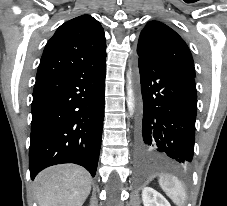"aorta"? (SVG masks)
<instances>
[{
	"label": "aorta",
	"mask_w": 227,
	"mask_h": 206,
	"mask_svg": "<svg viewBox=\"0 0 227 206\" xmlns=\"http://www.w3.org/2000/svg\"><path fill=\"white\" fill-rule=\"evenodd\" d=\"M128 78V89H127V94H128V100H127V105L128 109L130 111V115L133 114V109H134V99H133V90L131 88V78L130 75L127 76Z\"/></svg>",
	"instance_id": "obj_1"
}]
</instances>
